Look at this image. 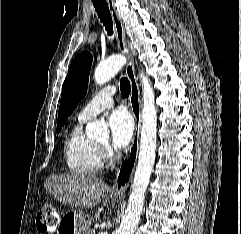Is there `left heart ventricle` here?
<instances>
[{"instance_id": "left-heart-ventricle-1", "label": "left heart ventricle", "mask_w": 241, "mask_h": 234, "mask_svg": "<svg viewBox=\"0 0 241 234\" xmlns=\"http://www.w3.org/2000/svg\"><path fill=\"white\" fill-rule=\"evenodd\" d=\"M107 142H108V140H107V139H104V140H102L100 143L103 144V145H106Z\"/></svg>"}]
</instances>
